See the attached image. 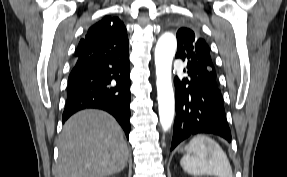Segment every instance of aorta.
<instances>
[{
    "label": "aorta",
    "mask_w": 287,
    "mask_h": 177,
    "mask_svg": "<svg viewBox=\"0 0 287 177\" xmlns=\"http://www.w3.org/2000/svg\"><path fill=\"white\" fill-rule=\"evenodd\" d=\"M176 48V37L169 32L161 35L155 47L159 119L165 132L171 128L174 119L175 102L171 71Z\"/></svg>",
    "instance_id": "obj_1"
}]
</instances>
